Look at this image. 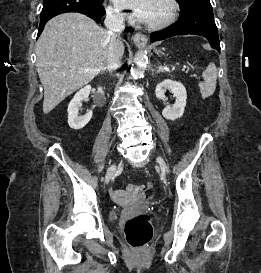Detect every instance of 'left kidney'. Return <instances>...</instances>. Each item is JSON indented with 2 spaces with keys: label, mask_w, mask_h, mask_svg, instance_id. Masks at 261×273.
<instances>
[{
  "label": "left kidney",
  "mask_w": 261,
  "mask_h": 273,
  "mask_svg": "<svg viewBox=\"0 0 261 273\" xmlns=\"http://www.w3.org/2000/svg\"><path fill=\"white\" fill-rule=\"evenodd\" d=\"M167 89L174 94V96L176 97V100L172 106L167 105L163 109L162 115L165 119L174 121L182 117L184 113V109L186 106L187 92L182 83L178 81H172L170 79H166L156 86V89H155L156 98L160 100L165 99V91Z\"/></svg>",
  "instance_id": "left-kidney-1"
}]
</instances>
